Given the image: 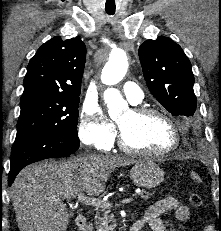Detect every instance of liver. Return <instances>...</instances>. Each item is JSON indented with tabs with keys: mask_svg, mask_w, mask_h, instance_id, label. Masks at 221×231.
Here are the masks:
<instances>
[{
	"mask_svg": "<svg viewBox=\"0 0 221 231\" xmlns=\"http://www.w3.org/2000/svg\"><path fill=\"white\" fill-rule=\"evenodd\" d=\"M134 162L121 156L91 154L25 167L11 188L20 231H66L70 215L63 201L83 192L99 195L112 170Z\"/></svg>",
	"mask_w": 221,
	"mask_h": 231,
	"instance_id": "liver-1",
	"label": "liver"
}]
</instances>
